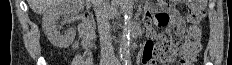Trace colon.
Masks as SVG:
<instances>
[{"instance_id":"5ec220e1","label":"colon","mask_w":232,"mask_h":65,"mask_svg":"<svg viewBox=\"0 0 232 65\" xmlns=\"http://www.w3.org/2000/svg\"><path fill=\"white\" fill-rule=\"evenodd\" d=\"M177 0L160 1L161 7H167ZM206 0L187 1V21L189 27L185 40L181 44L162 36L156 46L155 57L159 62H177L179 65H192L201 49V22L205 15Z\"/></svg>"}]
</instances>
